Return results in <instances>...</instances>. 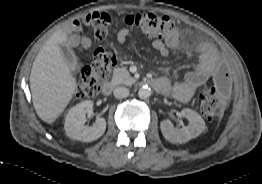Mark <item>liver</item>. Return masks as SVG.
<instances>
[{"instance_id": "1", "label": "liver", "mask_w": 262, "mask_h": 184, "mask_svg": "<svg viewBox=\"0 0 262 184\" xmlns=\"http://www.w3.org/2000/svg\"><path fill=\"white\" fill-rule=\"evenodd\" d=\"M67 40L68 35L63 29L54 32L40 49L31 69L33 105L39 118L47 123L59 117L77 88L60 48Z\"/></svg>"}]
</instances>
